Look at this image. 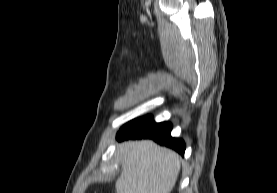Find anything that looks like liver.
<instances>
[{"label": "liver", "instance_id": "liver-1", "mask_svg": "<svg viewBox=\"0 0 277 193\" xmlns=\"http://www.w3.org/2000/svg\"><path fill=\"white\" fill-rule=\"evenodd\" d=\"M122 172L116 193H170L178 178L181 158L151 140L126 141L119 145Z\"/></svg>", "mask_w": 277, "mask_h": 193}]
</instances>
